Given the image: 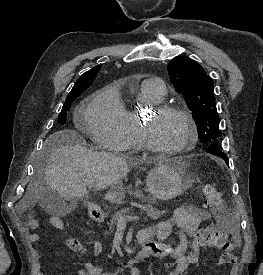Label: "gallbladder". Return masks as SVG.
<instances>
[{"mask_svg": "<svg viewBox=\"0 0 263 275\" xmlns=\"http://www.w3.org/2000/svg\"><path fill=\"white\" fill-rule=\"evenodd\" d=\"M37 199L41 208L50 215L62 217L71 211L70 204L65 202L57 191L50 189L48 186L41 190Z\"/></svg>", "mask_w": 263, "mask_h": 275, "instance_id": "1", "label": "gallbladder"}]
</instances>
